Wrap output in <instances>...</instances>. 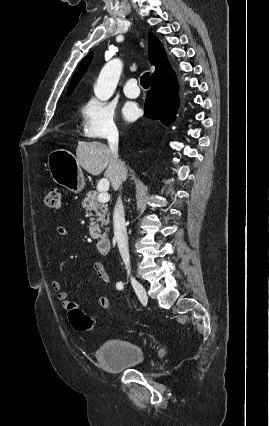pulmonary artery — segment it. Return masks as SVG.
<instances>
[{
  "label": "pulmonary artery",
  "mask_w": 269,
  "mask_h": 426,
  "mask_svg": "<svg viewBox=\"0 0 269 426\" xmlns=\"http://www.w3.org/2000/svg\"><path fill=\"white\" fill-rule=\"evenodd\" d=\"M124 94L129 98H137L140 94L136 78H130L123 87Z\"/></svg>",
  "instance_id": "obj_1"
}]
</instances>
